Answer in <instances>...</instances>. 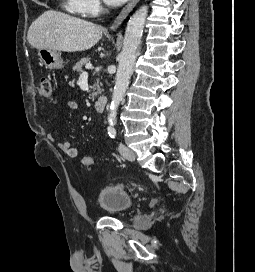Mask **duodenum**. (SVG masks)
<instances>
[{
    "label": "duodenum",
    "instance_id": "duodenum-1",
    "mask_svg": "<svg viewBox=\"0 0 255 272\" xmlns=\"http://www.w3.org/2000/svg\"><path fill=\"white\" fill-rule=\"evenodd\" d=\"M108 98L105 95L100 96L94 104V107L97 112H103L106 108Z\"/></svg>",
    "mask_w": 255,
    "mask_h": 272
}]
</instances>
